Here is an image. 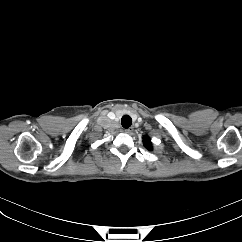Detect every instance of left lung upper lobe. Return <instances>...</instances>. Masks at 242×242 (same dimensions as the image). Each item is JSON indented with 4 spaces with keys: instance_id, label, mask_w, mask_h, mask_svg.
Masks as SVG:
<instances>
[{
    "instance_id": "obj_1",
    "label": "left lung upper lobe",
    "mask_w": 242,
    "mask_h": 242,
    "mask_svg": "<svg viewBox=\"0 0 242 242\" xmlns=\"http://www.w3.org/2000/svg\"><path fill=\"white\" fill-rule=\"evenodd\" d=\"M144 146L148 149V150H152V144L150 142V139L148 136L144 137Z\"/></svg>"
}]
</instances>
